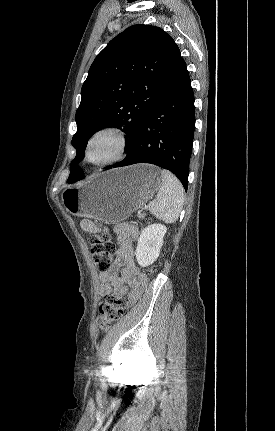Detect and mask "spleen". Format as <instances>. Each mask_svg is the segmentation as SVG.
I'll return each mask as SVG.
<instances>
[{
	"mask_svg": "<svg viewBox=\"0 0 275 431\" xmlns=\"http://www.w3.org/2000/svg\"><path fill=\"white\" fill-rule=\"evenodd\" d=\"M162 184L156 199L149 204L150 212L166 223L178 220L184 202V189L171 172L161 171Z\"/></svg>",
	"mask_w": 275,
	"mask_h": 431,
	"instance_id": "1",
	"label": "spleen"
}]
</instances>
